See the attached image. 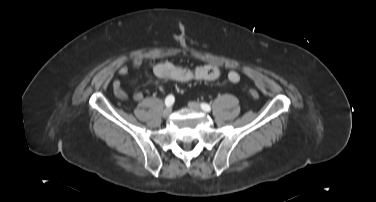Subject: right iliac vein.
Returning a JSON list of instances; mask_svg holds the SVG:
<instances>
[{
    "label": "right iliac vein",
    "instance_id": "obj_1",
    "mask_svg": "<svg viewBox=\"0 0 376 202\" xmlns=\"http://www.w3.org/2000/svg\"><path fill=\"white\" fill-rule=\"evenodd\" d=\"M172 113V109L170 107H167L164 109L163 113H162V116L164 118H168Z\"/></svg>",
    "mask_w": 376,
    "mask_h": 202
}]
</instances>
